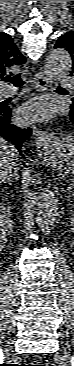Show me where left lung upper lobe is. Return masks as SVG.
Here are the masks:
<instances>
[{
	"label": "left lung upper lobe",
	"instance_id": "obj_1",
	"mask_svg": "<svg viewBox=\"0 0 74 366\" xmlns=\"http://www.w3.org/2000/svg\"><path fill=\"white\" fill-rule=\"evenodd\" d=\"M55 48H64L66 49L70 55L72 56V72L71 75L74 76V31H70L60 36L57 43L55 44ZM74 98H72V102Z\"/></svg>",
	"mask_w": 74,
	"mask_h": 366
}]
</instances>
